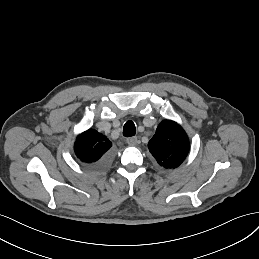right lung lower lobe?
<instances>
[{
    "label": "right lung lower lobe",
    "mask_w": 259,
    "mask_h": 259,
    "mask_svg": "<svg viewBox=\"0 0 259 259\" xmlns=\"http://www.w3.org/2000/svg\"><path fill=\"white\" fill-rule=\"evenodd\" d=\"M109 163H110V156L105 155L104 157H102L97 162H94V163H91V164L85 163V165L90 166L93 169H103V168L107 167Z\"/></svg>",
    "instance_id": "obj_1"
}]
</instances>
